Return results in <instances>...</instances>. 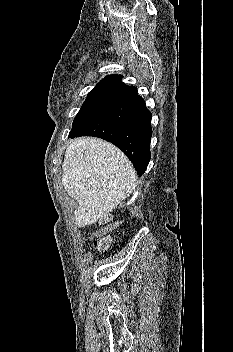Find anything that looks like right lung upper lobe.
<instances>
[{
  "instance_id": "cb5924a9",
  "label": "right lung upper lobe",
  "mask_w": 233,
  "mask_h": 352,
  "mask_svg": "<svg viewBox=\"0 0 233 352\" xmlns=\"http://www.w3.org/2000/svg\"><path fill=\"white\" fill-rule=\"evenodd\" d=\"M122 76L121 75H109L106 76L104 79H102L101 82H99L96 87H110V86H114V87H126V88H132L137 90L136 87L133 86H128L126 84H124L121 81Z\"/></svg>"
}]
</instances>
